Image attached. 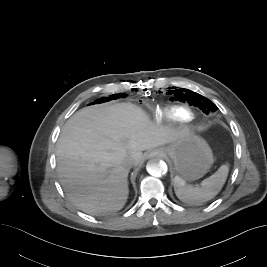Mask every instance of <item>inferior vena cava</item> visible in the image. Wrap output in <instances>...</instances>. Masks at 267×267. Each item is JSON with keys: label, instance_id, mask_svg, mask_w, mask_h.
Here are the masks:
<instances>
[{"label": "inferior vena cava", "instance_id": "602c4592", "mask_svg": "<svg viewBox=\"0 0 267 267\" xmlns=\"http://www.w3.org/2000/svg\"><path fill=\"white\" fill-rule=\"evenodd\" d=\"M124 165L128 168H131L132 166H134V161L131 158H126L124 160Z\"/></svg>", "mask_w": 267, "mask_h": 267}]
</instances>
